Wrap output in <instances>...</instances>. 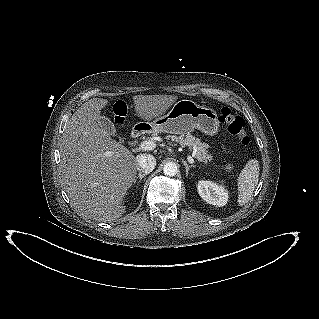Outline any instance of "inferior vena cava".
<instances>
[{
	"instance_id": "inferior-vena-cava-1",
	"label": "inferior vena cava",
	"mask_w": 319,
	"mask_h": 319,
	"mask_svg": "<svg viewBox=\"0 0 319 319\" xmlns=\"http://www.w3.org/2000/svg\"><path fill=\"white\" fill-rule=\"evenodd\" d=\"M138 166L137 170L139 173L149 174L156 166V159L150 154H141L137 156Z\"/></svg>"
}]
</instances>
